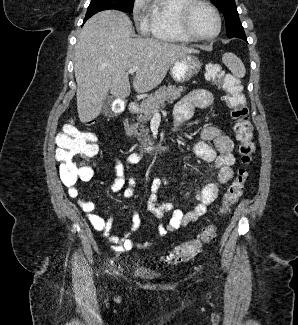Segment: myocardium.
<instances>
[{
	"instance_id": "myocardium-1",
	"label": "myocardium",
	"mask_w": 298,
	"mask_h": 325,
	"mask_svg": "<svg viewBox=\"0 0 298 325\" xmlns=\"http://www.w3.org/2000/svg\"><path fill=\"white\" fill-rule=\"evenodd\" d=\"M196 6H202L206 8L209 11V13L213 16L216 23V30L214 34L207 40H202L199 37H197L191 31V29L187 24V19L189 14L192 11V9ZM174 27L175 30L179 32L181 35H183L184 37L200 44H209L213 42L219 36L221 31V24H220V19L218 17V14L216 13V11L213 9L211 5L201 0H185L177 5Z\"/></svg>"
}]
</instances>
